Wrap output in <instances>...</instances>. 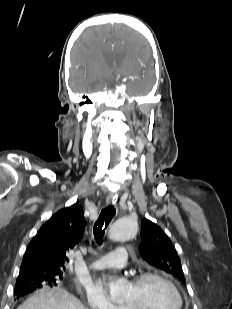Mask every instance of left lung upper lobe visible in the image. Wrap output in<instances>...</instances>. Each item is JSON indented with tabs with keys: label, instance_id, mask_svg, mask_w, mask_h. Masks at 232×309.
Returning a JSON list of instances; mask_svg holds the SVG:
<instances>
[{
	"label": "left lung upper lobe",
	"instance_id": "1",
	"mask_svg": "<svg viewBox=\"0 0 232 309\" xmlns=\"http://www.w3.org/2000/svg\"><path fill=\"white\" fill-rule=\"evenodd\" d=\"M141 226L140 255L150 265L185 282L181 260L167 235L159 226L147 219L142 220Z\"/></svg>",
	"mask_w": 232,
	"mask_h": 309
}]
</instances>
